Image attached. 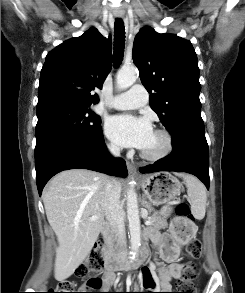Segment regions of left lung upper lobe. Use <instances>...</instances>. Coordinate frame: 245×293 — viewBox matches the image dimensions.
<instances>
[{"mask_svg": "<svg viewBox=\"0 0 245 293\" xmlns=\"http://www.w3.org/2000/svg\"><path fill=\"white\" fill-rule=\"evenodd\" d=\"M133 61L150 94V106L171 135L205 132L199 100L197 55L190 41L144 27L136 35Z\"/></svg>", "mask_w": 245, "mask_h": 293, "instance_id": "obj_1", "label": "left lung upper lobe"}]
</instances>
